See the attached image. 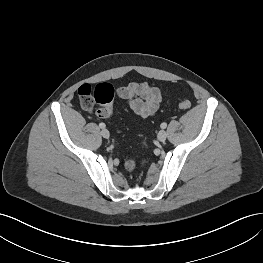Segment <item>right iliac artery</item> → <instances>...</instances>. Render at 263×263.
Here are the masks:
<instances>
[{
    "instance_id": "1",
    "label": "right iliac artery",
    "mask_w": 263,
    "mask_h": 263,
    "mask_svg": "<svg viewBox=\"0 0 263 263\" xmlns=\"http://www.w3.org/2000/svg\"><path fill=\"white\" fill-rule=\"evenodd\" d=\"M99 127H100V128H105L106 125H105L104 123H100V124H99Z\"/></svg>"
}]
</instances>
